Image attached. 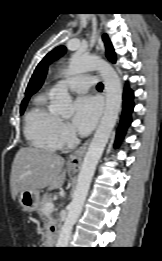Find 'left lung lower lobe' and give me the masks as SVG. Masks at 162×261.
Listing matches in <instances>:
<instances>
[{
    "instance_id": "left-lung-lower-lobe-1",
    "label": "left lung lower lobe",
    "mask_w": 162,
    "mask_h": 261,
    "mask_svg": "<svg viewBox=\"0 0 162 261\" xmlns=\"http://www.w3.org/2000/svg\"><path fill=\"white\" fill-rule=\"evenodd\" d=\"M123 99H124V105H123L124 108H123L120 126L117 130V137H116L117 139H116L115 146L119 145V143L121 142V140L125 135L127 127L131 123V112L133 111L134 104H133V92L128 86H126L124 89Z\"/></svg>"
}]
</instances>
